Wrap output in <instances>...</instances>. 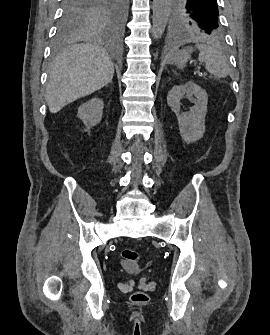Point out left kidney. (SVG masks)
<instances>
[{"label": "left kidney", "instance_id": "5707ae66", "mask_svg": "<svg viewBox=\"0 0 270 335\" xmlns=\"http://www.w3.org/2000/svg\"><path fill=\"white\" fill-rule=\"evenodd\" d=\"M185 94L187 96L194 94L196 98V100H193L195 106L190 108V112L180 114V100L184 98ZM207 100V92L194 84L192 80L184 86H173L172 90L168 92L167 104L175 112L179 122L180 134L187 144L201 140L203 134H205Z\"/></svg>", "mask_w": 270, "mask_h": 335}]
</instances>
